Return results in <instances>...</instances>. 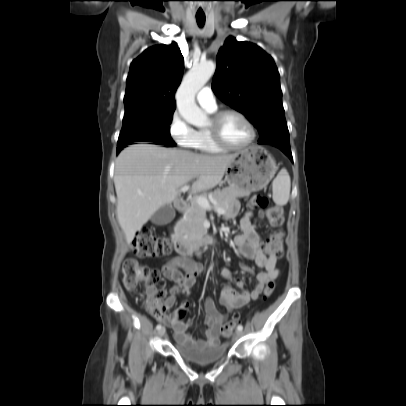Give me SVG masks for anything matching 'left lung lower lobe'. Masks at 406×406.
<instances>
[{"instance_id":"1","label":"left lung lower lobe","mask_w":406,"mask_h":406,"mask_svg":"<svg viewBox=\"0 0 406 406\" xmlns=\"http://www.w3.org/2000/svg\"><path fill=\"white\" fill-rule=\"evenodd\" d=\"M261 144V143H259ZM267 145H274L275 147L279 148L280 150H282L293 162V158H292V153H291V149H290V145H286V144H276V143H265Z\"/></svg>"}]
</instances>
